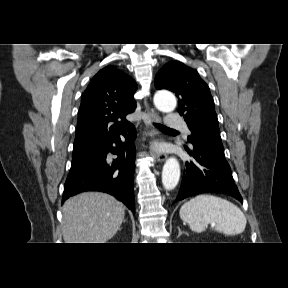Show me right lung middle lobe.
I'll return each instance as SVG.
<instances>
[{
  "mask_svg": "<svg viewBox=\"0 0 288 288\" xmlns=\"http://www.w3.org/2000/svg\"><path fill=\"white\" fill-rule=\"evenodd\" d=\"M84 155V154H83ZM80 156H82V155H79L78 153H73V157H72V159H74V158H78V157H80Z\"/></svg>",
  "mask_w": 288,
  "mask_h": 288,
  "instance_id": "dd1d6c3e",
  "label": "right lung middle lobe"
}]
</instances>
